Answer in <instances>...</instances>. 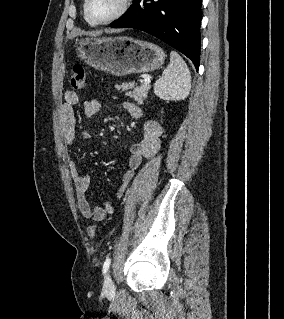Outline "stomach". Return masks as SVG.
Here are the masks:
<instances>
[{"instance_id":"0dacf381","label":"stomach","mask_w":284,"mask_h":319,"mask_svg":"<svg viewBox=\"0 0 284 319\" xmlns=\"http://www.w3.org/2000/svg\"><path fill=\"white\" fill-rule=\"evenodd\" d=\"M76 51L88 65L117 76L154 71L166 56L159 46L126 36L81 39Z\"/></svg>"}]
</instances>
